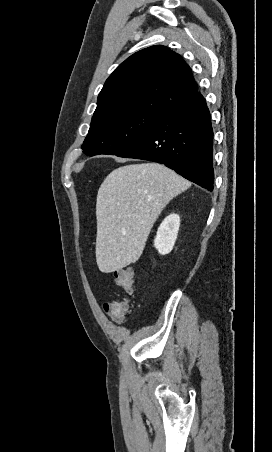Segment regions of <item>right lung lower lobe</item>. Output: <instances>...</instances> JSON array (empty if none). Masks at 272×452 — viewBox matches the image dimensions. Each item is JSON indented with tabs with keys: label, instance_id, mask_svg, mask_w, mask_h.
Segmentation results:
<instances>
[{
	"label": "right lung lower lobe",
	"instance_id": "98d812e1",
	"mask_svg": "<svg viewBox=\"0 0 272 452\" xmlns=\"http://www.w3.org/2000/svg\"><path fill=\"white\" fill-rule=\"evenodd\" d=\"M213 129L204 97L196 92L175 110L161 114L117 156L164 164L199 186L213 190Z\"/></svg>",
	"mask_w": 272,
	"mask_h": 452
}]
</instances>
